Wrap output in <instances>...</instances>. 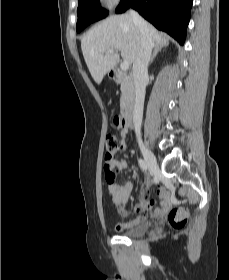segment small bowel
Returning <instances> with one entry per match:
<instances>
[{
	"mask_svg": "<svg viewBox=\"0 0 229 280\" xmlns=\"http://www.w3.org/2000/svg\"><path fill=\"white\" fill-rule=\"evenodd\" d=\"M129 135L128 129H122L121 130V152H124L127 149V142L126 139ZM115 171L121 172L127 168V162L124 158H119L114 163ZM108 186V192L112 199L113 204L118 209V211L124 215L127 216L128 212L125 209V205L132 193L133 190V184L131 181H126L125 183L121 185H115L111 183H107ZM156 194L161 200L160 207L155 208L153 211V215L155 216H164L169 208H170V198H169V192L168 190L161 186L157 185L156 187ZM153 207V203L149 200V192L146 186H144L140 192L139 200L134 205V211L138 214H144L149 212ZM145 219V216L139 215L135 218H131L126 220L123 223H120L116 226L117 231H122L124 229H128L130 227L135 226L140 220Z\"/></svg>",
	"mask_w": 229,
	"mask_h": 280,
	"instance_id": "obj_1",
	"label": "small bowel"
}]
</instances>
